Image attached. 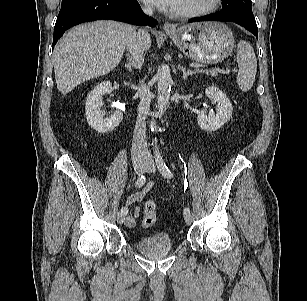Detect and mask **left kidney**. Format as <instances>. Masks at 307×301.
<instances>
[{"instance_id": "1", "label": "left kidney", "mask_w": 307, "mask_h": 301, "mask_svg": "<svg viewBox=\"0 0 307 301\" xmlns=\"http://www.w3.org/2000/svg\"><path fill=\"white\" fill-rule=\"evenodd\" d=\"M206 95L217 102L216 112L208 116L199 114L198 125L206 131H216L220 129L232 116L233 107L229 98L216 86H209L205 89Z\"/></svg>"}]
</instances>
